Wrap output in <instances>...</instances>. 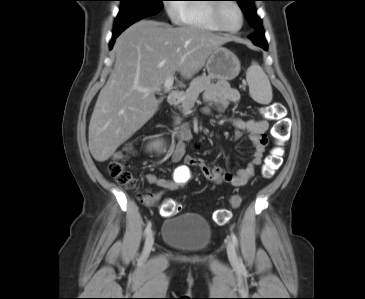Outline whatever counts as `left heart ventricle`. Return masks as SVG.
<instances>
[{
    "mask_svg": "<svg viewBox=\"0 0 365 299\" xmlns=\"http://www.w3.org/2000/svg\"><path fill=\"white\" fill-rule=\"evenodd\" d=\"M222 24L231 29L238 28L241 23V17L238 9L231 3L226 4L221 14Z\"/></svg>",
    "mask_w": 365,
    "mask_h": 299,
    "instance_id": "left-heart-ventricle-1",
    "label": "left heart ventricle"
}]
</instances>
